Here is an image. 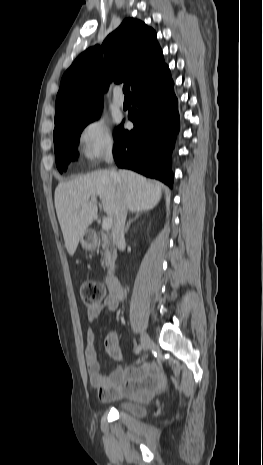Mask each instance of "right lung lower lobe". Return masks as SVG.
<instances>
[{"label": "right lung lower lobe", "instance_id": "98d812e1", "mask_svg": "<svg viewBox=\"0 0 263 465\" xmlns=\"http://www.w3.org/2000/svg\"><path fill=\"white\" fill-rule=\"evenodd\" d=\"M128 118L134 129L122 124L114 133L113 156L118 167L135 170L172 187L171 153L179 132L178 100L166 66L132 91Z\"/></svg>", "mask_w": 263, "mask_h": 465}]
</instances>
